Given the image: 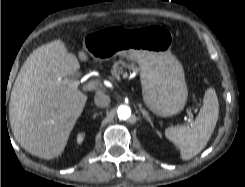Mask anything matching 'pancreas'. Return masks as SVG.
Wrapping results in <instances>:
<instances>
[{"label":"pancreas","instance_id":"cf45deb5","mask_svg":"<svg viewBox=\"0 0 245 187\" xmlns=\"http://www.w3.org/2000/svg\"><path fill=\"white\" fill-rule=\"evenodd\" d=\"M125 69H128L129 72L132 73H137L139 71V68L136 67L134 63H127L125 61L119 60L116 61L112 66L111 73L113 78L118 81L121 80V76L125 78L126 77Z\"/></svg>","mask_w":245,"mask_h":187}]
</instances>
